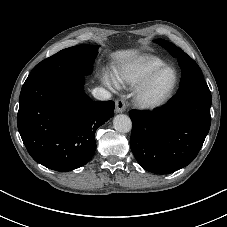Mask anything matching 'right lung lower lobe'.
<instances>
[{
    "mask_svg": "<svg viewBox=\"0 0 227 227\" xmlns=\"http://www.w3.org/2000/svg\"><path fill=\"white\" fill-rule=\"evenodd\" d=\"M80 75L60 76L22 88L18 130L31 157L66 172L85 165L96 150L95 132L114 116L113 101H92Z\"/></svg>",
    "mask_w": 227,
    "mask_h": 227,
    "instance_id": "1",
    "label": "right lung lower lobe"
}]
</instances>
